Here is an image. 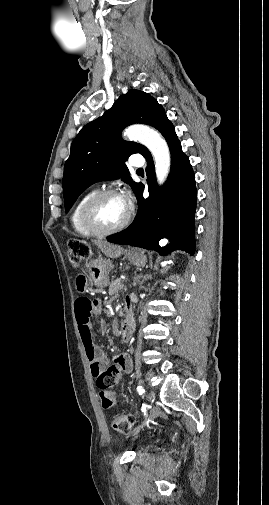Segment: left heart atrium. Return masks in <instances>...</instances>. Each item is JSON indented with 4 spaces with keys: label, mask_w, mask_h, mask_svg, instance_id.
Here are the masks:
<instances>
[{
    "label": "left heart atrium",
    "mask_w": 269,
    "mask_h": 505,
    "mask_svg": "<svg viewBox=\"0 0 269 505\" xmlns=\"http://www.w3.org/2000/svg\"><path fill=\"white\" fill-rule=\"evenodd\" d=\"M119 196L125 207L128 209L131 205V199L129 193L127 191H123L119 194Z\"/></svg>",
    "instance_id": "left-heart-atrium-1"
}]
</instances>
